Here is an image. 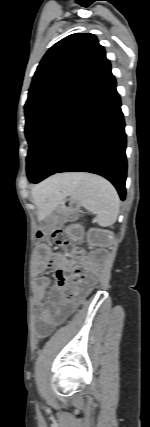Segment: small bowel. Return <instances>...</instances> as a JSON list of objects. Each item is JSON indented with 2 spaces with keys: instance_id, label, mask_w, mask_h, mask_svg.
<instances>
[{
  "instance_id": "obj_1",
  "label": "small bowel",
  "mask_w": 150,
  "mask_h": 427,
  "mask_svg": "<svg viewBox=\"0 0 150 427\" xmlns=\"http://www.w3.org/2000/svg\"><path fill=\"white\" fill-rule=\"evenodd\" d=\"M65 259L60 255L40 254L35 261V271L40 274L47 268H60L65 264ZM50 279L46 276H39L37 279L36 299L41 301L47 293ZM89 286L82 288L81 294L87 293ZM76 302L63 306L56 312H52L50 304L44 305L38 314V336L46 337L54 327L66 319L74 310Z\"/></svg>"
}]
</instances>
